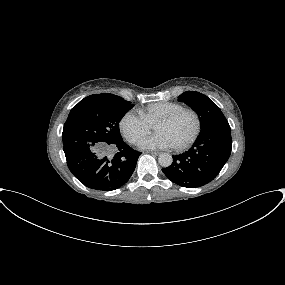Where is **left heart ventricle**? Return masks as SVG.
Instances as JSON below:
<instances>
[{
  "label": "left heart ventricle",
  "instance_id": "b2bd125f",
  "mask_svg": "<svg viewBox=\"0 0 285 285\" xmlns=\"http://www.w3.org/2000/svg\"><path fill=\"white\" fill-rule=\"evenodd\" d=\"M195 118L191 113H183L169 123L156 125L154 130L167 136L173 146L187 140L195 129Z\"/></svg>",
  "mask_w": 285,
  "mask_h": 285
}]
</instances>
